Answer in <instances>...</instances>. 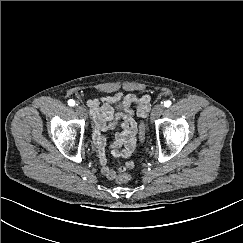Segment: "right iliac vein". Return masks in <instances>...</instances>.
<instances>
[{
    "mask_svg": "<svg viewBox=\"0 0 243 243\" xmlns=\"http://www.w3.org/2000/svg\"><path fill=\"white\" fill-rule=\"evenodd\" d=\"M76 113L81 117V118H87V112L86 109L83 106L77 105L76 108Z\"/></svg>",
    "mask_w": 243,
    "mask_h": 243,
    "instance_id": "right-iliac-vein-1",
    "label": "right iliac vein"
}]
</instances>
